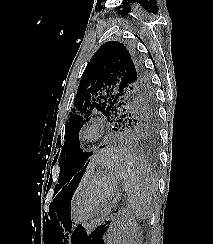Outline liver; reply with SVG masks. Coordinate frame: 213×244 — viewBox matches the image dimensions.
Here are the masks:
<instances>
[{"label":"liver","instance_id":"liver-1","mask_svg":"<svg viewBox=\"0 0 213 244\" xmlns=\"http://www.w3.org/2000/svg\"><path fill=\"white\" fill-rule=\"evenodd\" d=\"M108 155H96L92 158L89 168L93 169L96 165H104L106 161L108 160Z\"/></svg>","mask_w":213,"mask_h":244}]
</instances>
